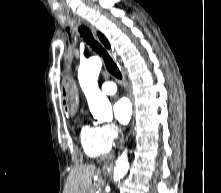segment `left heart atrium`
Here are the masks:
<instances>
[{"instance_id": "1", "label": "left heart atrium", "mask_w": 221, "mask_h": 193, "mask_svg": "<svg viewBox=\"0 0 221 193\" xmlns=\"http://www.w3.org/2000/svg\"><path fill=\"white\" fill-rule=\"evenodd\" d=\"M114 115L121 124H127L132 116V104L126 97L118 98L113 105Z\"/></svg>"}]
</instances>
